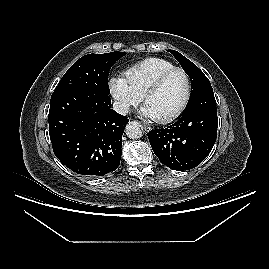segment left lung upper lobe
<instances>
[{"instance_id": "1", "label": "left lung upper lobe", "mask_w": 269, "mask_h": 269, "mask_svg": "<svg viewBox=\"0 0 269 269\" xmlns=\"http://www.w3.org/2000/svg\"><path fill=\"white\" fill-rule=\"evenodd\" d=\"M173 54V56L179 61L184 71L188 74L190 79L192 80V95L191 99L194 98L196 95L201 93L206 89H210L211 84L208 78L204 75V73L190 60L184 57L177 51L168 50Z\"/></svg>"}]
</instances>
